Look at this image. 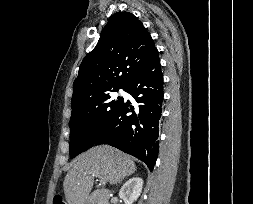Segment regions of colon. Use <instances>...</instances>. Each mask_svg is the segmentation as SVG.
I'll return each instance as SVG.
<instances>
[{"label": "colon", "mask_w": 253, "mask_h": 204, "mask_svg": "<svg viewBox=\"0 0 253 204\" xmlns=\"http://www.w3.org/2000/svg\"><path fill=\"white\" fill-rule=\"evenodd\" d=\"M53 204H65L64 199L60 195H55L53 198Z\"/></svg>", "instance_id": "5ec220e1"}]
</instances>
